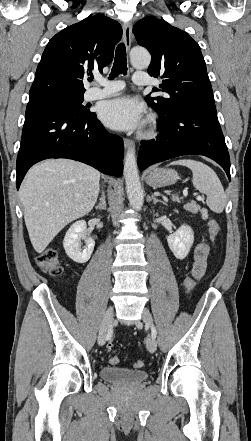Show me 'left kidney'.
Segmentation results:
<instances>
[{"label":"left kidney","mask_w":251,"mask_h":441,"mask_svg":"<svg viewBox=\"0 0 251 441\" xmlns=\"http://www.w3.org/2000/svg\"><path fill=\"white\" fill-rule=\"evenodd\" d=\"M167 242L174 256L177 259L183 260L193 245V230L190 226L183 224L176 232L167 237Z\"/></svg>","instance_id":"1"}]
</instances>
